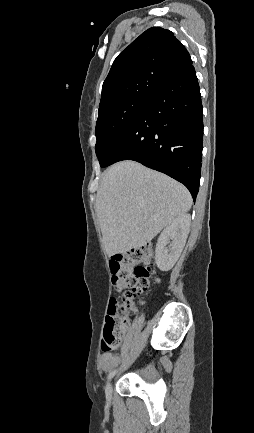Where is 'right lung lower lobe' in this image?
I'll return each mask as SVG.
<instances>
[{
	"instance_id": "98d812e1",
	"label": "right lung lower lobe",
	"mask_w": 254,
	"mask_h": 433,
	"mask_svg": "<svg viewBox=\"0 0 254 433\" xmlns=\"http://www.w3.org/2000/svg\"><path fill=\"white\" fill-rule=\"evenodd\" d=\"M203 108L192 63L150 98L115 146L107 166L134 160L183 183L195 201L201 176Z\"/></svg>"
}]
</instances>
